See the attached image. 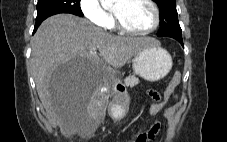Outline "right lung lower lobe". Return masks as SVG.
Wrapping results in <instances>:
<instances>
[{
  "mask_svg": "<svg viewBox=\"0 0 227 142\" xmlns=\"http://www.w3.org/2000/svg\"><path fill=\"white\" fill-rule=\"evenodd\" d=\"M43 20H45V19L36 20V23H35V27H34L33 33L37 30L38 26L41 24V22H42Z\"/></svg>",
  "mask_w": 227,
  "mask_h": 142,
  "instance_id": "right-lung-lower-lobe-1",
  "label": "right lung lower lobe"
}]
</instances>
